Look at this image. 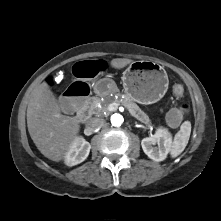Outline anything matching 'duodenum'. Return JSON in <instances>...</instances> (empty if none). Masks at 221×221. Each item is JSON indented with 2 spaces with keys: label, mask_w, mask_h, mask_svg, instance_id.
<instances>
[{
  "label": "duodenum",
  "mask_w": 221,
  "mask_h": 221,
  "mask_svg": "<svg viewBox=\"0 0 221 221\" xmlns=\"http://www.w3.org/2000/svg\"><path fill=\"white\" fill-rule=\"evenodd\" d=\"M77 117L81 122H84L88 117V110L87 108H84L82 110H78Z\"/></svg>",
  "instance_id": "duodenum-1"
}]
</instances>
